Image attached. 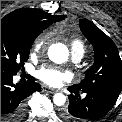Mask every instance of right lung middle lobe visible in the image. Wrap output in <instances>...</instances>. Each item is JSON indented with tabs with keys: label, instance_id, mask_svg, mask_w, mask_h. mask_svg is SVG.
Returning <instances> with one entry per match:
<instances>
[{
	"label": "right lung middle lobe",
	"instance_id": "dd1d6c3e",
	"mask_svg": "<svg viewBox=\"0 0 122 122\" xmlns=\"http://www.w3.org/2000/svg\"><path fill=\"white\" fill-rule=\"evenodd\" d=\"M42 31L1 23V71L16 75L27 61L30 48Z\"/></svg>",
	"mask_w": 122,
	"mask_h": 122
}]
</instances>
